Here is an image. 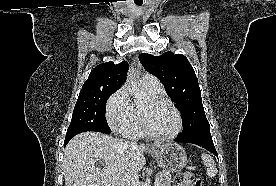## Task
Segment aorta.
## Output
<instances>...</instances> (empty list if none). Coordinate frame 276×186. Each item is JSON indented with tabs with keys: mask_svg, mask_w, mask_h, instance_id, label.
I'll return each instance as SVG.
<instances>
[{
	"mask_svg": "<svg viewBox=\"0 0 276 186\" xmlns=\"http://www.w3.org/2000/svg\"><path fill=\"white\" fill-rule=\"evenodd\" d=\"M127 83L130 89L132 90L133 94L136 95L138 94V88H137V83H136V76L134 72H130L127 75Z\"/></svg>",
	"mask_w": 276,
	"mask_h": 186,
	"instance_id": "762f6f07",
	"label": "aorta"
}]
</instances>
